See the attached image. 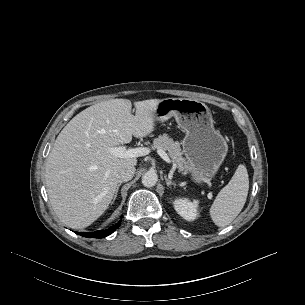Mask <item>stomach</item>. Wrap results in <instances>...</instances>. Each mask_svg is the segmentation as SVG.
<instances>
[{
  "instance_id": "stomach-1",
  "label": "stomach",
  "mask_w": 305,
  "mask_h": 305,
  "mask_svg": "<svg viewBox=\"0 0 305 305\" xmlns=\"http://www.w3.org/2000/svg\"><path fill=\"white\" fill-rule=\"evenodd\" d=\"M171 117L186 132L181 144L191 179L199 184L210 181L228 152L226 140L214 128L210 109L203 102L189 98L160 100L154 110V120L164 122Z\"/></svg>"
}]
</instances>
